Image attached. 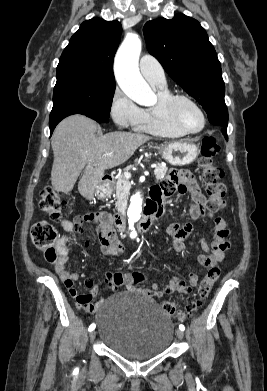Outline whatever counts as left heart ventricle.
Here are the masks:
<instances>
[{
  "instance_id": "obj_1",
  "label": "left heart ventricle",
  "mask_w": 267,
  "mask_h": 391,
  "mask_svg": "<svg viewBox=\"0 0 267 391\" xmlns=\"http://www.w3.org/2000/svg\"><path fill=\"white\" fill-rule=\"evenodd\" d=\"M176 115L180 122L189 130H199L203 124L198 110L187 102H179L176 105Z\"/></svg>"
}]
</instances>
